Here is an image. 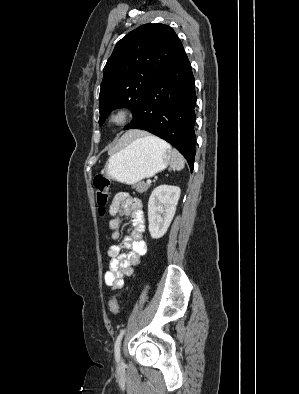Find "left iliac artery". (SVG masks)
Instances as JSON below:
<instances>
[{
  "label": "left iliac artery",
  "mask_w": 299,
  "mask_h": 394,
  "mask_svg": "<svg viewBox=\"0 0 299 394\" xmlns=\"http://www.w3.org/2000/svg\"><path fill=\"white\" fill-rule=\"evenodd\" d=\"M124 333H125V329L121 330L120 334L118 335V337L115 341V345H114L115 358H116L117 362L120 359V344H121V340H122Z\"/></svg>",
  "instance_id": "obj_1"
}]
</instances>
